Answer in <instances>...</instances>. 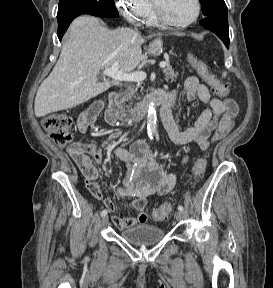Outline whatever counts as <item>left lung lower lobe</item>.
Instances as JSON below:
<instances>
[{
	"label": "left lung lower lobe",
	"mask_w": 273,
	"mask_h": 288,
	"mask_svg": "<svg viewBox=\"0 0 273 288\" xmlns=\"http://www.w3.org/2000/svg\"><path fill=\"white\" fill-rule=\"evenodd\" d=\"M200 24L215 33L229 47V30L227 16L204 18Z\"/></svg>",
	"instance_id": "1"
}]
</instances>
